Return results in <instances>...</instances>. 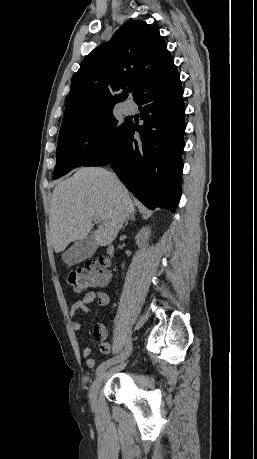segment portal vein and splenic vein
<instances>
[{
  "mask_svg": "<svg viewBox=\"0 0 257 459\" xmlns=\"http://www.w3.org/2000/svg\"><path fill=\"white\" fill-rule=\"evenodd\" d=\"M93 221L96 222V223H99V222H100V218L97 217V216H95V217L93 218Z\"/></svg>",
  "mask_w": 257,
  "mask_h": 459,
  "instance_id": "18ae733b",
  "label": "portal vein and splenic vein"
}]
</instances>
